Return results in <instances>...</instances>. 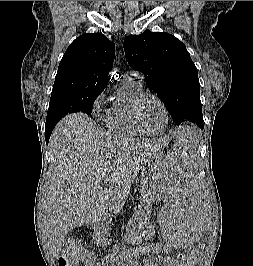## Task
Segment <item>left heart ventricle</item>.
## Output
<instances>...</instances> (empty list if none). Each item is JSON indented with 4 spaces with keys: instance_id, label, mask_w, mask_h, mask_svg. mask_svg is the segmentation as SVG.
Masks as SVG:
<instances>
[{
    "instance_id": "left-heart-ventricle-1",
    "label": "left heart ventricle",
    "mask_w": 253,
    "mask_h": 266,
    "mask_svg": "<svg viewBox=\"0 0 253 266\" xmlns=\"http://www.w3.org/2000/svg\"><path fill=\"white\" fill-rule=\"evenodd\" d=\"M142 125L150 131H160L165 125V115L160 104L153 98L145 99L140 106Z\"/></svg>"
}]
</instances>
